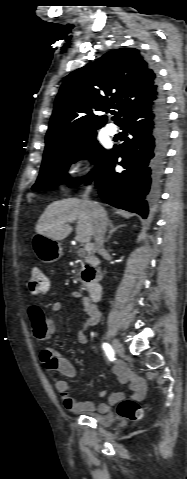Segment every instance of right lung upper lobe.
<instances>
[{
  "label": "right lung upper lobe",
  "mask_w": 187,
  "mask_h": 479,
  "mask_svg": "<svg viewBox=\"0 0 187 479\" xmlns=\"http://www.w3.org/2000/svg\"><path fill=\"white\" fill-rule=\"evenodd\" d=\"M162 94L156 73L135 48L110 51L70 73L57 95L45 150L73 143L106 122L97 112L118 110L116 122Z\"/></svg>",
  "instance_id": "obj_1"
}]
</instances>
